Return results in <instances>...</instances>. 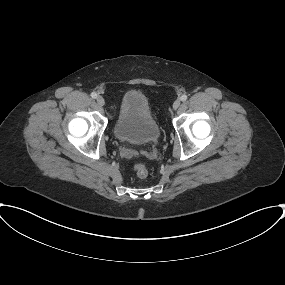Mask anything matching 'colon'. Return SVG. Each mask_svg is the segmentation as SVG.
I'll use <instances>...</instances> for the list:
<instances>
[{
  "label": "colon",
  "mask_w": 285,
  "mask_h": 285,
  "mask_svg": "<svg viewBox=\"0 0 285 285\" xmlns=\"http://www.w3.org/2000/svg\"><path fill=\"white\" fill-rule=\"evenodd\" d=\"M134 170L139 178H146L149 174L147 167L143 164H136Z\"/></svg>",
  "instance_id": "colon-1"
}]
</instances>
